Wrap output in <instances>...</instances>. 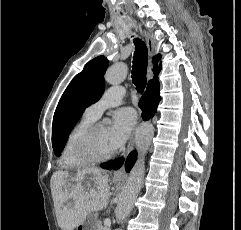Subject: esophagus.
Listing matches in <instances>:
<instances>
[{"label":"esophagus","instance_id":"esophagus-1","mask_svg":"<svg viewBox=\"0 0 241 230\" xmlns=\"http://www.w3.org/2000/svg\"><path fill=\"white\" fill-rule=\"evenodd\" d=\"M144 36H145V39H146L149 54H150V56H152L155 53L154 41H153L152 37L150 35H148L147 33H145ZM133 147H134V133L130 138V141H129L127 149L124 153V156H127L132 151ZM124 172H125L124 167H121L119 170H117L115 172V176H121V175L124 174Z\"/></svg>","mask_w":241,"mask_h":230}]
</instances>
